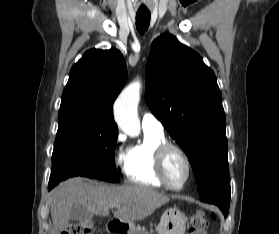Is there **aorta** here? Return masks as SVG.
Wrapping results in <instances>:
<instances>
[{"instance_id":"aorta-1","label":"aorta","mask_w":279,"mask_h":234,"mask_svg":"<svg viewBox=\"0 0 279 234\" xmlns=\"http://www.w3.org/2000/svg\"><path fill=\"white\" fill-rule=\"evenodd\" d=\"M141 82L130 83L118 96L114 103V118L118 127L131 137L138 136L141 130L138 117Z\"/></svg>"}]
</instances>
